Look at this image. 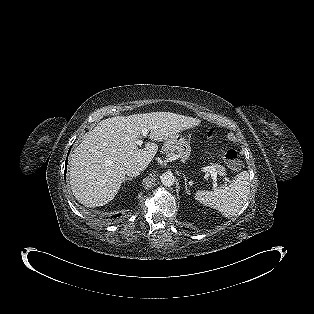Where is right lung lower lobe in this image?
<instances>
[{"mask_svg":"<svg viewBox=\"0 0 314 314\" xmlns=\"http://www.w3.org/2000/svg\"><path fill=\"white\" fill-rule=\"evenodd\" d=\"M69 154V153H68ZM66 165H67V160H66ZM119 215H114V216H111V218H116V217H118Z\"/></svg>","mask_w":314,"mask_h":314,"instance_id":"obj_1","label":"right lung lower lobe"}]
</instances>
